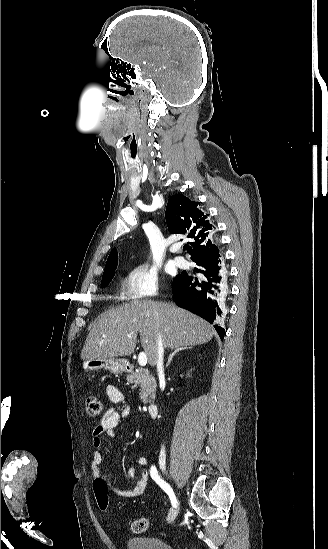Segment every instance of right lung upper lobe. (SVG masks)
Segmentation results:
<instances>
[{
    "instance_id": "obj_1",
    "label": "right lung upper lobe",
    "mask_w": 328,
    "mask_h": 549,
    "mask_svg": "<svg viewBox=\"0 0 328 549\" xmlns=\"http://www.w3.org/2000/svg\"><path fill=\"white\" fill-rule=\"evenodd\" d=\"M166 222L172 234H185L192 240L188 242L192 261L219 255L215 227L209 220V214L198 208V202L191 201L182 194L169 198L166 208ZM118 254L114 248L106 262L104 272L117 264Z\"/></svg>"
}]
</instances>
